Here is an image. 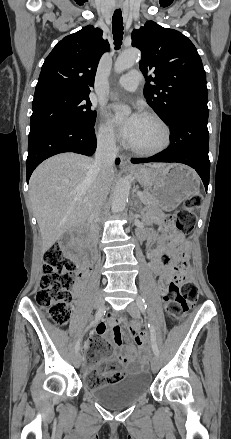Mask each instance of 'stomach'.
Here are the masks:
<instances>
[{"label":"stomach","mask_w":231,"mask_h":439,"mask_svg":"<svg viewBox=\"0 0 231 439\" xmlns=\"http://www.w3.org/2000/svg\"><path fill=\"white\" fill-rule=\"evenodd\" d=\"M137 181L156 197L157 207L172 211L200 190L197 173L181 164H166L160 168L138 166L134 170Z\"/></svg>","instance_id":"obj_1"}]
</instances>
